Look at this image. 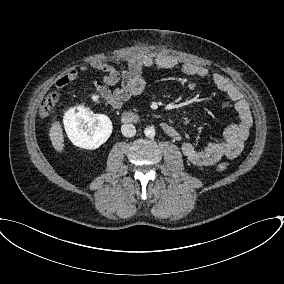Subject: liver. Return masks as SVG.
<instances>
[{
    "label": "liver",
    "instance_id": "6515ba94",
    "mask_svg": "<svg viewBox=\"0 0 284 284\" xmlns=\"http://www.w3.org/2000/svg\"><path fill=\"white\" fill-rule=\"evenodd\" d=\"M49 137L54 149L57 152L64 151V136L59 122L54 121L49 130Z\"/></svg>",
    "mask_w": 284,
    "mask_h": 284
}]
</instances>
